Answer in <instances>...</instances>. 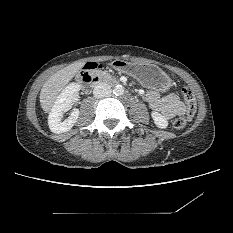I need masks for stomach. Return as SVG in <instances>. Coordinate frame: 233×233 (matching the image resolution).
<instances>
[{"mask_svg":"<svg viewBox=\"0 0 233 233\" xmlns=\"http://www.w3.org/2000/svg\"><path fill=\"white\" fill-rule=\"evenodd\" d=\"M112 67L119 72L135 78L143 86L157 89L160 92H166L172 86L170 77L159 67L152 64L116 59L112 62Z\"/></svg>","mask_w":233,"mask_h":233,"instance_id":"stomach-1","label":"stomach"}]
</instances>
